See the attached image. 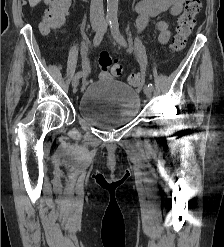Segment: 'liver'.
<instances>
[{
	"instance_id": "6515ba94",
	"label": "liver",
	"mask_w": 224,
	"mask_h": 247,
	"mask_svg": "<svg viewBox=\"0 0 224 247\" xmlns=\"http://www.w3.org/2000/svg\"><path fill=\"white\" fill-rule=\"evenodd\" d=\"M28 2L30 4V8H35V6H37L41 0H28Z\"/></svg>"
}]
</instances>
